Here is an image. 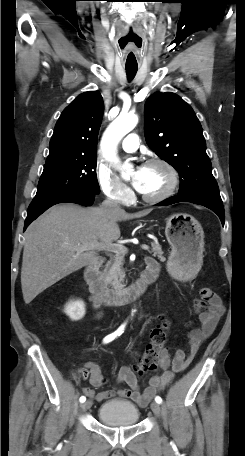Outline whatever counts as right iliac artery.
<instances>
[{"instance_id":"right-iliac-artery-1","label":"right iliac artery","mask_w":245,"mask_h":456,"mask_svg":"<svg viewBox=\"0 0 245 456\" xmlns=\"http://www.w3.org/2000/svg\"><path fill=\"white\" fill-rule=\"evenodd\" d=\"M125 326H126V323L122 324L115 332L107 335L104 339H103V343H109L111 341H113L115 338H117L118 336L122 335V333L124 332L125 330ZM79 401L81 403L85 402L86 401V397L85 396H81Z\"/></svg>"}]
</instances>
